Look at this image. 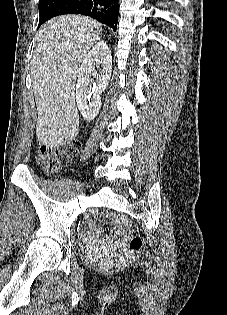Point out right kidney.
<instances>
[{
	"mask_svg": "<svg viewBox=\"0 0 227 315\" xmlns=\"http://www.w3.org/2000/svg\"><path fill=\"white\" fill-rule=\"evenodd\" d=\"M101 64L99 79L93 83L91 75L96 73V68ZM112 72V56L105 41H99L88 52L78 72L76 84L77 106L87 121L94 120L101 107V94L108 86ZM92 95V96H91Z\"/></svg>",
	"mask_w": 227,
	"mask_h": 315,
	"instance_id": "1",
	"label": "right kidney"
}]
</instances>
